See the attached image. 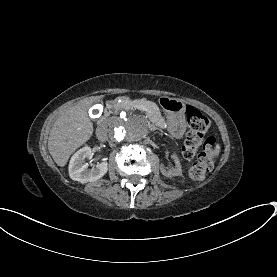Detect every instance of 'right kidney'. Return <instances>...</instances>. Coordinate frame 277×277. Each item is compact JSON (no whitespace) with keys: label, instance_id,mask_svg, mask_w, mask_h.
<instances>
[{"label":"right kidney","instance_id":"ca27d5eb","mask_svg":"<svg viewBox=\"0 0 277 277\" xmlns=\"http://www.w3.org/2000/svg\"><path fill=\"white\" fill-rule=\"evenodd\" d=\"M92 155V149L90 147H84L72 156L69 164V177L73 181L85 184L97 181L107 174L109 166L107 160L99 163L93 169L88 168Z\"/></svg>","mask_w":277,"mask_h":277}]
</instances>
